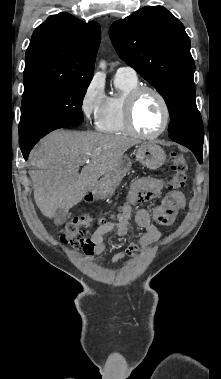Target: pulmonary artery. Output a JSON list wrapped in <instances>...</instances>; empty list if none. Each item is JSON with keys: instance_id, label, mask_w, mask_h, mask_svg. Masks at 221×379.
<instances>
[{"instance_id": "1", "label": "pulmonary artery", "mask_w": 221, "mask_h": 379, "mask_svg": "<svg viewBox=\"0 0 221 379\" xmlns=\"http://www.w3.org/2000/svg\"><path fill=\"white\" fill-rule=\"evenodd\" d=\"M116 77H124L128 79H137L136 71L128 66L119 67L115 74Z\"/></svg>"}]
</instances>
